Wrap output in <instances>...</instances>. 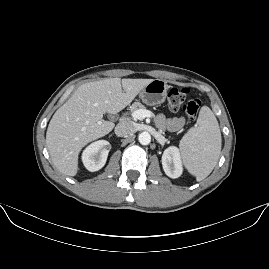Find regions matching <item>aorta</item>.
I'll return each instance as SVG.
<instances>
[{"label":"aorta","instance_id":"aorta-1","mask_svg":"<svg viewBox=\"0 0 269 269\" xmlns=\"http://www.w3.org/2000/svg\"><path fill=\"white\" fill-rule=\"evenodd\" d=\"M138 140L142 145H148L151 142V135L144 131L139 134Z\"/></svg>","mask_w":269,"mask_h":269}]
</instances>
